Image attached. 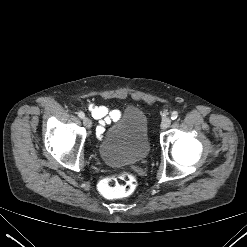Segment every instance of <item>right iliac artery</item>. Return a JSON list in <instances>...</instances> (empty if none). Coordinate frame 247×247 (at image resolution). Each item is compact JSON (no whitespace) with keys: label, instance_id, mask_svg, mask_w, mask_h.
Listing matches in <instances>:
<instances>
[{"label":"right iliac artery","instance_id":"right-iliac-artery-1","mask_svg":"<svg viewBox=\"0 0 247 247\" xmlns=\"http://www.w3.org/2000/svg\"><path fill=\"white\" fill-rule=\"evenodd\" d=\"M78 116H79L81 119H83V118L85 117V114H84L82 111H80V112H78Z\"/></svg>","mask_w":247,"mask_h":247}]
</instances>
